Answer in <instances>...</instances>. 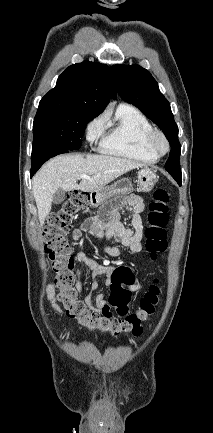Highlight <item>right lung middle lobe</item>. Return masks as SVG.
Here are the masks:
<instances>
[{"mask_svg":"<svg viewBox=\"0 0 213 433\" xmlns=\"http://www.w3.org/2000/svg\"><path fill=\"white\" fill-rule=\"evenodd\" d=\"M96 115L86 109L53 103H39L33 123L32 151L45 146L78 150L86 124Z\"/></svg>","mask_w":213,"mask_h":433,"instance_id":"dd1d6c3e","label":"right lung middle lobe"}]
</instances>
